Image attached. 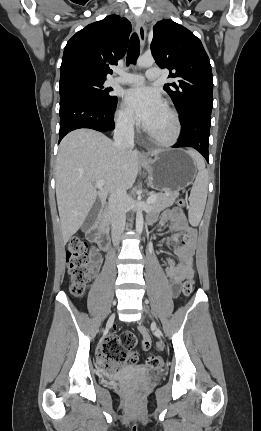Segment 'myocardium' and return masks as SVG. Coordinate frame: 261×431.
Masks as SVG:
<instances>
[{"label":"myocardium","instance_id":"myocardium-1","mask_svg":"<svg viewBox=\"0 0 261 431\" xmlns=\"http://www.w3.org/2000/svg\"><path fill=\"white\" fill-rule=\"evenodd\" d=\"M165 109L170 114L173 121L174 128H173L172 134L168 137L161 138L153 134L147 128L145 129V132L152 143L161 147H170L176 144L177 141L179 140L182 127H181V121L177 111L167 104L165 105Z\"/></svg>","mask_w":261,"mask_h":431}]
</instances>
